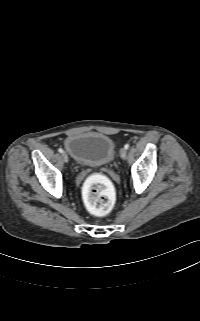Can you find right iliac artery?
Listing matches in <instances>:
<instances>
[{"mask_svg":"<svg viewBox=\"0 0 200 321\" xmlns=\"http://www.w3.org/2000/svg\"><path fill=\"white\" fill-rule=\"evenodd\" d=\"M58 151H59L60 153H63V149H62V148H59Z\"/></svg>","mask_w":200,"mask_h":321,"instance_id":"1","label":"right iliac artery"}]
</instances>
